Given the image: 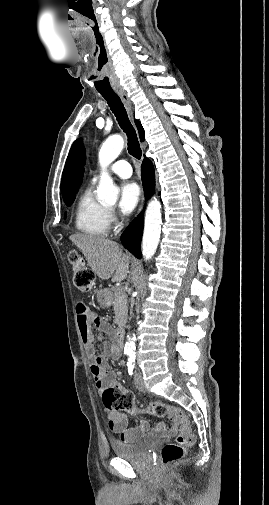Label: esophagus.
I'll return each instance as SVG.
<instances>
[{"mask_svg": "<svg viewBox=\"0 0 269 505\" xmlns=\"http://www.w3.org/2000/svg\"><path fill=\"white\" fill-rule=\"evenodd\" d=\"M116 92L119 95V97L121 98L130 118L133 119V107H132V103H131L130 98L128 97L126 91L124 89H117ZM142 207H143V203H142L141 208Z\"/></svg>", "mask_w": 269, "mask_h": 505, "instance_id": "1", "label": "esophagus"}]
</instances>
